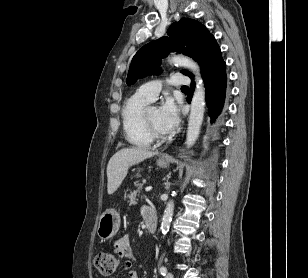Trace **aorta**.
Returning a JSON list of instances; mask_svg holds the SVG:
<instances>
[{
	"instance_id": "1",
	"label": "aorta",
	"mask_w": 308,
	"mask_h": 278,
	"mask_svg": "<svg viewBox=\"0 0 308 278\" xmlns=\"http://www.w3.org/2000/svg\"><path fill=\"white\" fill-rule=\"evenodd\" d=\"M171 62L183 66L193 72L195 75L196 87L191 102V110L188 120V128L186 135V144L188 147L192 146L197 140L201 124L204 116L205 107V88L204 83L200 75V68L192 59L177 55L171 58ZM174 202L170 200L164 211V215L161 223V230L163 234L169 231L170 222L173 216Z\"/></svg>"
}]
</instances>
